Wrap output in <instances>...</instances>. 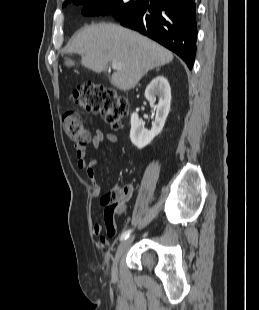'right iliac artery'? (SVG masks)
<instances>
[{"label": "right iliac artery", "instance_id": "obj_1", "mask_svg": "<svg viewBox=\"0 0 259 310\" xmlns=\"http://www.w3.org/2000/svg\"><path fill=\"white\" fill-rule=\"evenodd\" d=\"M131 232H132V230H130V229L125 231V232H123L122 235L120 236V241H123V240L127 239Z\"/></svg>", "mask_w": 259, "mask_h": 310}]
</instances>
